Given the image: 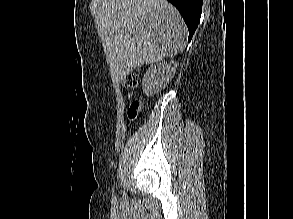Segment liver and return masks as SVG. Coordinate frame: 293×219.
I'll use <instances>...</instances> for the list:
<instances>
[{
  "label": "liver",
  "instance_id": "6515ba94",
  "mask_svg": "<svg viewBox=\"0 0 293 219\" xmlns=\"http://www.w3.org/2000/svg\"><path fill=\"white\" fill-rule=\"evenodd\" d=\"M96 16L118 82L139 66L177 54L187 33L179 11L166 0H99Z\"/></svg>",
  "mask_w": 293,
  "mask_h": 219
}]
</instances>
